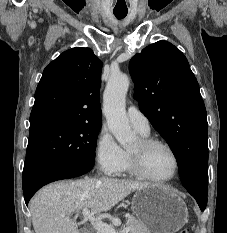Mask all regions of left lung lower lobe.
Listing matches in <instances>:
<instances>
[{"instance_id": "0a47b994", "label": "left lung lower lobe", "mask_w": 227, "mask_h": 233, "mask_svg": "<svg viewBox=\"0 0 227 233\" xmlns=\"http://www.w3.org/2000/svg\"><path fill=\"white\" fill-rule=\"evenodd\" d=\"M191 195L196 199L200 209L204 210L207 205V196H201L197 193H192Z\"/></svg>"}]
</instances>
